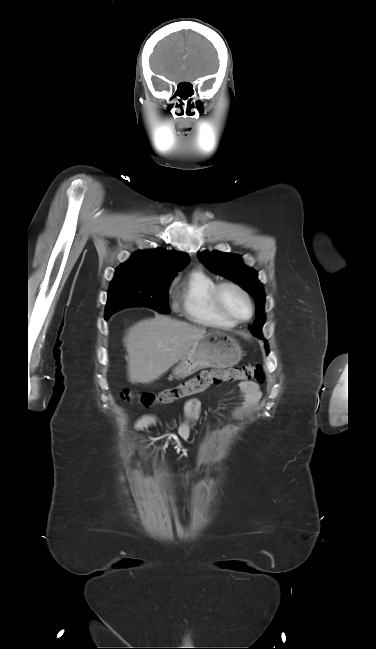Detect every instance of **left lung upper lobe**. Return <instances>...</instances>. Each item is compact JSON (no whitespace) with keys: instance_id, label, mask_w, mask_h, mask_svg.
Listing matches in <instances>:
<instances>
[{"instance_id":"5c2ea615","label":"left lung upper lobe","mask_w":376,"mask_h":649,"mask_svg":"<svg viewBox=\"0 0 376 649\" xmlns=\"http://www.w3.org/2000/svg\"><path fill=\"white\" fill-rule=\"evenodd\" d=\"M197 257L209 270L231 279L254 297L256 319L249 328L255 336L262 338V327L265 321L263 312L265 294L263 285L257 279V272L245 266L239 255L213 251L198 253Z\"/></svg>"}]
</instances>
